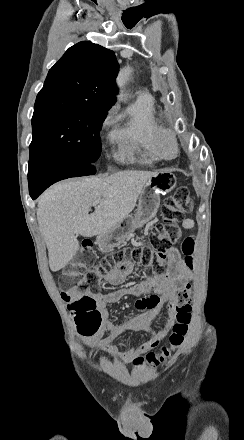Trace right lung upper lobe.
<instances>
[{
    "label": "right lung upper lobe",
    "instance_id": "right-lung-upper-lobe-1",
    "mask_svg": "<svg viewBox=\"0 0 244 440\" xmlns=\"http://www.w3.org/2000/svg\"><path fill=\"white\" fill-rule=\"evenodd\" d=\"M118 70L113 51L80 42L50 69L36 102L78 101L110 109L116 101Z\"/></svg>",
    "mask_w": 244,
    "mask_h": 440
}]
</instances>
